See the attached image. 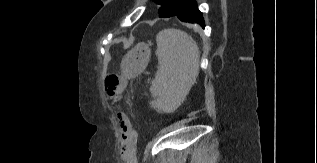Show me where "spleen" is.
<instances>
[{
  "label": "spleen",
  "instance_id": "obj_1",
  "mask_svg": "<svg viewBox=\"0 0 317 163\" xmlns=\"http://www.w3.org/2000/svg\"><path fill=\"white\" fill-rule=\"evenodd\" d=\"M158 69L150 92L156 107L174 112L184 101L199 74L200 51L186 32L164 29L156 37Z\"/></svg>",
  "mask_w": 317,
  "mask_h": 163
}]
</instances>
